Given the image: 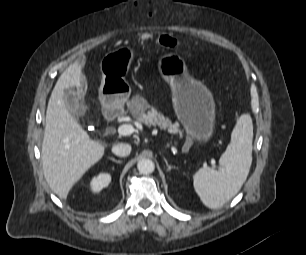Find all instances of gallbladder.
<instances>
[{
    "mask_svg": "<svg viewBox=\"0 0 306 255\" xmlns=\"http://www.w3.org/2000/svg\"><path fill=\"white\" fill-rule=\"evenodd\" d=\"M64 100L67 109L72 113L73 117L78 120L81 111H85L86 107L84 104L79 102V98L76 92L68 90L64 94Z\"/></svg>",
    "mask_w": 306,
    "mask_h": 255,
    "instance_id": "bac80fb5",
    "label": "gallbladder"
}]
</instances>
